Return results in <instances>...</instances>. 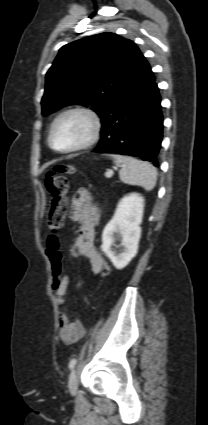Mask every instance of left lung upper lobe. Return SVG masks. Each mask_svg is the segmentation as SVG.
Segmentation results:
<instances>
[{
  "label": "left lung upper lobe",
  "mask_w": 208,
  "mask_h": 425,
  "mask_svg": "<svg viewBox=\"0 0 208 425\" xmlns=\"http://www.w3.org/2000/svg\"><path fill=\"white\" fill-rule=\"evenodd\" d=\"M145 60L135 43L114 33L64 45L46 74L42 114L81 104L101 116Z\"/></svg>",
  "instance_id": "1"
}]
</instances>
